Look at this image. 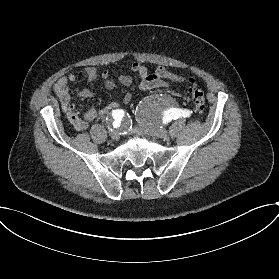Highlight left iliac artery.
I'll list each match as a JSON object with an SVG mask.
<instances>
[{"mask_svg":"<svg viewBox=\"0 0 279 279\" xmlns=\"http://www.w3.org/2000/svg\"><path fill=\"white\" fill-rule=\"evenodd\" d=\"M192 114L190 110H181L177 108L170 109L166 111L165 116L163 117V123L167 124L172 119H178L180 116L189 117Z\"/></svg>","mask_w":279,"mask_h":279,"instance_id":"left-iliac-artery-1","label":"left iliac artery"}]
</instances>
